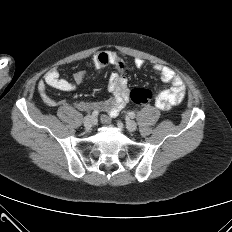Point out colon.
Wrapping results in <instances>:
<instances>
[{
  "label": "colon",
  "mask_w": 232,
  "mask_h": 232,
  "mask_svg": "<svg viewBox=\"0 0 232 232\" xmlns=\"http://www.w3.org/2000/svg\"><path fill=\"white\" fill-rule=\"evenodd\" d=\"M130 99L136 105H145L153 99V92L147 88H134L130 92Z\"/></svg>",
  "instance_id": "1"
}]
</instances>
